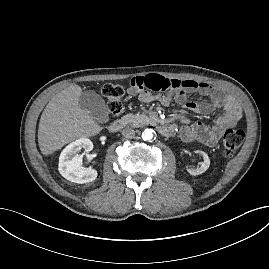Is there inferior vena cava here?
Instances as JSON below:
<instances>
[{"label": "inferior vena cava", "mask_w": 269, "mask_h": 269, "mask_svg": "<svg viewBox=\"0 0 269 269\" xmlns=\"http://www.w3.org/2000/svg\"><path fill=\"white\" fill-rule=\"evenodd\" d=\"M122 135H123V137H125L127 139H132L135 136V130L132 129L131 127H125L122 130Z\"/></svg>", "instance_id": "obj_1"}]
</instances>
